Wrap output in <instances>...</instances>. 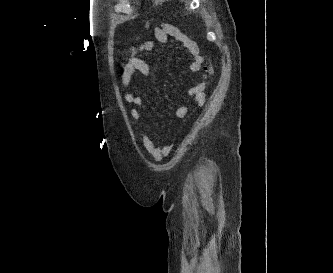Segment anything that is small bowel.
Listing matches in <instances>:
<instances>
[{"mask_svg": "<svg viewBox=\"0 0 333 273\" xmlns=\"http://www.w3.org/2000/svg\"><path fill=\"white\" fill-rule=\"evenodd\" d=\"M169 37L171 38V44L183 49L191 56L189 70L194 74L199 73L201 71L203 57L201 56L193 37L185 33L180 28L169 23H164L155 30V38L161 45L164 46L168 44ZM155 48L156 43L154 41H145L138 43L135 48H130L128 50V59L121 74V85L124 89L123 98L131 106L130 115L141 135V140L145 150L148 155H150L153 160L157 162L161 160L166 151L165 149L156 146L147 134L140 114L142 100L132 91L133 76L136 72L146 77H148L151 73L150 66L140 57V55L144 52L152 51ZM205 87V82L201 81L188 89V95L193 98L198 105H202L204 103ZM185 111V108L181 107L178 109L177 115L182 117L185 115Z\"/></svg>", "mask_w": 333, "mask_h": 273, "instance_id": "small-bowel-1", "label": "small bowel"}]
</instances>
